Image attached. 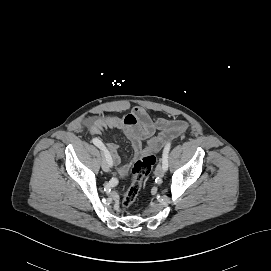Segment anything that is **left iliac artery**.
<instances>
[{"instance_id":"44dca946","label":"left iliac artery","mask_w":271,"mask_h":271,"mask_svg":"<svg viewBox=\"0 0 271 271\" xmlns=\"http://www.w3.org/2000/svg\"><path fill=\"white\" fill-rule=\"evenodd\" d=\"M171 148V142H168L164 149H163V153H162V166L164 168V170L166 171L168 169V154Z\"/></svg>"}]
</instances>
